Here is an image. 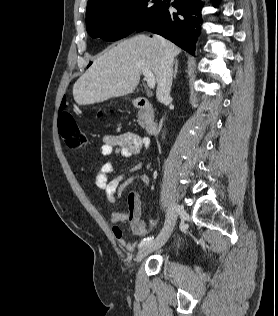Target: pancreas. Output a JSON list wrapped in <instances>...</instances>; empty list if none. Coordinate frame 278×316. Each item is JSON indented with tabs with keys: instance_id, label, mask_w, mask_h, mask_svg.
<instances>
[{
	"instance_id": "1",
	"label": "pancreas",
	"mask_w": 278,
	"mask_h": 316,
	"mask_svg": "<svg viewBox=\"0 0 278 316\" xmlns=\"http://www.w3.org/2000/svg\"><path fill=\"white\" fill-rule=\"evenodd\" d=\"M154 120V112L152 110L138 112V124L140 127L145 128L149 123Z\"/></svg>"
}]
</instances>
